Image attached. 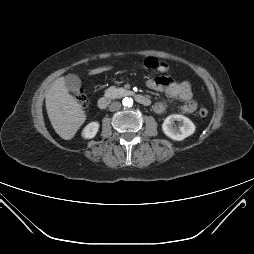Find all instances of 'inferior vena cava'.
Returning <instances> with one entry per match:
<instances>
[{
	"label": "inferior vena cava",
	"mask_w": 254,
	"mask_h": 254,
	"mask_svg": "<svg viewBox=\"0 0 254 254\" xmlns=\"http://www.w3.org/2000/svg\"><path fill=\"white\" fill-rule=\"evenodd\" d=\"M121 107V103L120 102H112L110 105H109V110L110 111H117L119 110Z\"/></svg>",
	"instance_id": "1"
}]
</instances>
